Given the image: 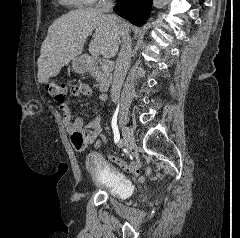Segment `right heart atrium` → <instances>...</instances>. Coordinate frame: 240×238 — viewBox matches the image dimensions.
Instances as JSON below:
<instances>
[{
  "label": "right heart atrium",
  "mask_w": 240,
  "mask_h": 238,
  "mask_svg": "<svg viewBox=\"0 0 240 238\" xmlns=\"http://www.w3.org/2000/svg\"><path fill=\"white\" fill-rule=\"evenodd\" d=\"M90 1H91V3H94V2H104L106 0H90Z\"/></svg>",
  "instance_id": "1"
}]
</instances>
